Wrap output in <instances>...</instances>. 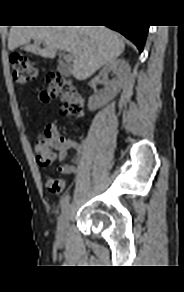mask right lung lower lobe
Here are the masks:
<instances>
[{"label": "right lung lower lobe", "instance_id": "98d812e1", "mask_svg": "<svg viewBox=\"0 0 184 292\" xmlns=\"http://www.w3.org/2000/svg\"><path fill=\"white\" fill-rule=\"evenodd\" d=\"M108 27L123 34L126 38L131 40L138 47L140 52H142L149 26L146 25L128 26L121 24L114 26L108 25Z\"/></svg>", "mask_w": 184, "mask_h": 292}]
</instances>
